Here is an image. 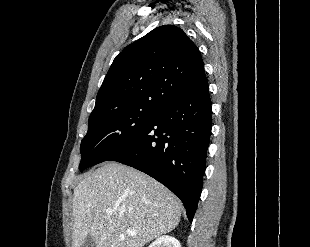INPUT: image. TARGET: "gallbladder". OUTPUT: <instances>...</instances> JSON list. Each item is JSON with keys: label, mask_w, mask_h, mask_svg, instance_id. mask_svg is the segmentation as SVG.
<instances>
[{"label": "gallbladder", "mask_w": 310, "mask_h": 247, "mask_svg": "<svg viewBox=\"0 0 310 247\" xmlns=\"http://www.w3.org/2000/svg\"><path fill=\"white\" fill-rule=\"evenodd\" d=\"M81 247H94V238L91 235H88L86 239L84 240Z\"/></svg>", "instance_id": "gallbladder-1"}]
</instances>
